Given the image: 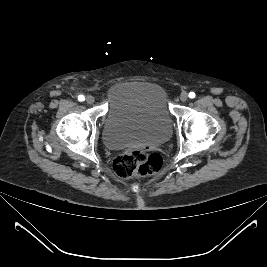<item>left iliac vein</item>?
Instances as JSON below:
<instances>
[{"instance_id": "1", "label": "left iliac vein", "mask_w": 267, "mask_h": 267, "mask_svg": "<svg viewBox=\"0 0 267 267\" xmlns=\"http://www.w3.org/2000/svg\"><path fill=\"white\" fill-rule=\"evenodd\" d=\"M188 97L189 96H188V94L186 92H182L181 95H180V100L182 102H185V101H187Z\"/></svg>"}]
</instances>
